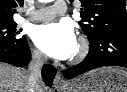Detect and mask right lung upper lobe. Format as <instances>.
I'll use <instances>...</instances> for the list:
<instances>
[{"instance_id": "1", "label": "right lung upper lobe", "mask_w": 127, "mask_h": 92, "mask_svg": "<svg viewBox=\"0 0 127 92\" xmlns=\"http://www.w3.org/2000/svg\"><path fill=\"white\" fill-rule=\"evenodd\" d=\"M24 0H0V24L13 23L16 7L23 6Z\"/></svg>"}]
</instances>
